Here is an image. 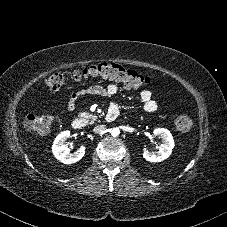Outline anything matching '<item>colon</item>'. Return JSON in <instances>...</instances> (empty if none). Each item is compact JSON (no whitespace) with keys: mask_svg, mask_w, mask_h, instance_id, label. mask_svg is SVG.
Returning <instances> with one entry per match:
<instances>
[{"mask_svg":"<svg viewBox=\"0 0 227 227\" xmlns=\"http://www.w3.org/2000/svg\"><path fill=\"white\" fill-rule=\"evenodd\" d=\"M96 77L117 80L128 88L141 87L151 82L150 77L113 62L91 65L73 72H55L48 75L44 82L48 89L58 90L71 81ZM53 121L52 115L29 114L25 117L24 123L30 132L44 134L50 129ZM192 125L193 121L187 113H180L173 122V128L180 133L189 131Z\"/></svg>","mask_w":227,"mask_h":227,"instance_id":"1","label":"colon"}]
</instances>
